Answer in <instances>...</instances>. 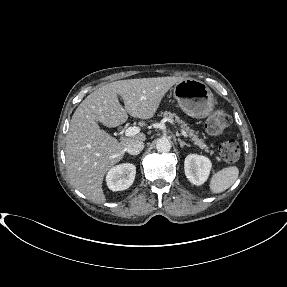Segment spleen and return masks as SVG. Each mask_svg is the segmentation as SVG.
<instances>
[{"instance_id":"obj_1","label":"spleen","mask_w":287,"mask_h":287,"mask_svg":"<svg viewBox=\"0 0 287 287\" xmlns=\"http://www.w3.org/2000/svg\"><path fill=\"white\" fill-rule=\"evenodd\" d=\"M239 170L236 166L223 168L215 173L210 180V190L212 193L217 194L225 191L232 186L237 180Z\"/></svg>"}]
</instances>
